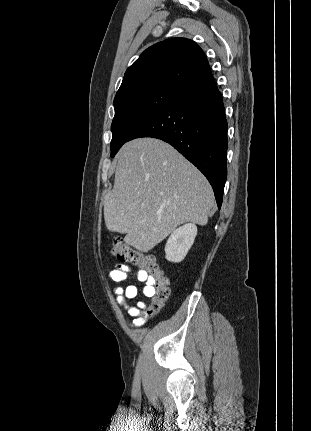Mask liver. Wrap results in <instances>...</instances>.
<instances>
[{
  "instance_id": "6515ba94",
  "label": "liver",
  "mask_w": 311,
  "mask_h": 431,
  "mask_svg": "<svg viewBox=\"0 0 311 431\" xmlns=\"http://www.w3.org/2000/svg\"><path fill=\"white\" fill-rule=\"evenodd\" d=\"M113 190L104 200L107 229L127 245L149 251L177 225H206L215 206L203 174L169 144L138 138L118 152Z\"/></svg>"
}]
</instances>
